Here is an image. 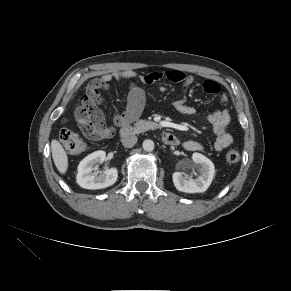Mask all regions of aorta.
Returning a JSON list of instances; mask_svg holds the SVG:
<instances>
[{
  "label": "aorta",
  "instance_id": "1",
  "mask_svg": "<svg viewBox=\"0 0 291 291\" xmlns=\"http://www.w3.org/2000/svg\"><path fill=\"white\" fill-rule=\"evenodd\" d=\"M142 147L145 151L150 152L154 149V142L150 139L143 141Z\"/></svg>",
  "mask_w": 291,
  "mask_h": 291
}]
</instances>
